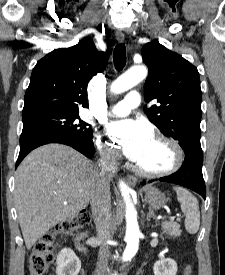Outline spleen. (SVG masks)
Here are the masks:
<instances>
[{
  "label": "spleen",
  "instance_id": "1",
  "mask_svg": "<svg viewBox=\"0 0 225 275\" xmlns=\"http://www.w3.org/2000/svg\"><path fill=\"white\" fill-rule=\"evenodd\" d=\"M173 189L186 217L184 223L186 231L190 234H196L200 226V211L197 199L185 188L174 187Z\"/></svg>",
  "mask_w": 225,
  "mask_h": 275
}]
</instances>
